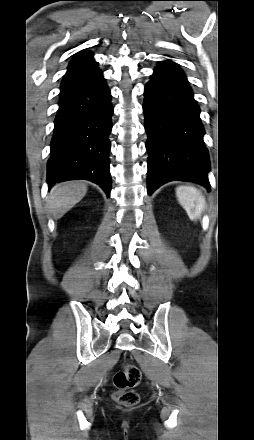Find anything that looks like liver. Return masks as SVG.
Returning <instances> with one entry per match:
<instances>
[{
	"instance_id": "1",
	"label": "liver",
	"mask_w": 254,
	"mask_h": 440,
	"mask_svg": "<svg viewBox=\"0 0 254 440\" xmlns=\"http://www.w3.org/2000/svg\"><path fill=\"white\" fill-rule=\"evenodd\" d=\"M83 181H67L54 185L48 197V205L56 218L62 217L86 195Z\"/></svg>"
}]
</instances>
